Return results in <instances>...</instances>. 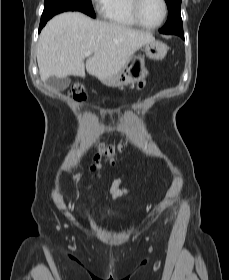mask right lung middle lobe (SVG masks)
<instances>
[{
    "label": "right lung middle lobe",
    "instance_id": "right-lung-middle-lobe-1",
    "mask_svg": "<svg viewBox=\"0 0 229 280\" xmlns=\"http://www.w3.org/2000/svg\"><path fill=\"white\" fill-rule=\"evenodd\" d=\"M65 11H80L95 18L91 0H45L42 18L50 19Z\"/></svg>",
    "mask_w": 229,
    "mask_h": 280
}]
</instances>
